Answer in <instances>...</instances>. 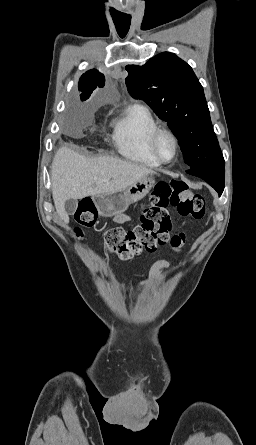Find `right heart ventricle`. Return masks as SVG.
Masks as SVG:
<instances>
[{
	"mask_svg": "<svg viewBox=\"0 0 256 445\" xmlns=\"http://www.w3.org/2000/svg\"><path fill=\"white\" fill-rule=\"evenodd\" d=\"M158 122L147 106L135 104L112 122V140L125 158L149 167L160 163L150 151L151 134Z\"/></svg>",
	"mask_w": 256,
	"mask_h": 445,
	"instance_id": "obj_1",
	"label": "right heart ventricle"
}]
</instances>
